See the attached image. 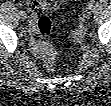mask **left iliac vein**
<instances>
[{"label": "left iliac vein", "instance_id": "obj_1", "mask_svg": "<svg viewBox=\"0 0 111 106\" xmlns=\"http://www.w3.org/2000/svg\"><path fill=\"white\" fill-rule=\"evenodd\" d=\"M93 10V4H88L86 7V12L90 13Z\"/></svg>", "mask_w": 111, "mask_h": 106}]
</instances>
